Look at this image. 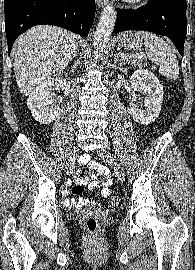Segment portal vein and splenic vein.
<instances>
[{"label":"portal vein and splenic vein","mask_w":195,"mask_h":270,"mask_svg":"<svg viewBox=\"0 0 195 270\" xmlns=\"http://www.w3.org/2000/svg\"><path fill=\"white\" fill-rule=\"evenodd\" d=\"M119 55H120L121 58L126 57V54H124V53H119ZM133 56L137 57V58H143L144 54H136V55H133Z\"/></svg>","instance_id":"obj_1"}]
</instances>
